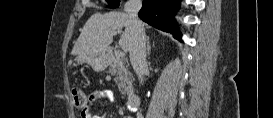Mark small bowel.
I'll return each mask as SVG.
<instances>
[{
	"label": "small bowel",
	"mask_w": 273,
	"mask_h": 118,
	"mask_svg": "<svg viewBox=\"0 0 273 118\" xmlns=\"http://www.w3.org/2000/svg\"><path fill=\"white\" fill-rule=\"evenodd\" d=\"M112 100H113V95L111 94L110 91L97 90V91L93 92L89 96L86 106L82 108L81 117L82 118H93L92 108L97 103L102 102V101H112Z\"/></svg>",
	"instance_id": "1"
}]
</instances>
